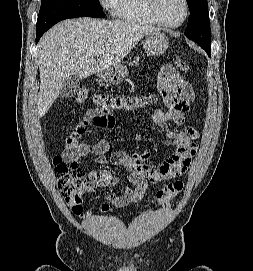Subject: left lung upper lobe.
Listing matches in <instances>:
<instances>
[{"label":"left lung upper lobe","instance_id":"5c2ea615","mask_svg":"<svg viewBox=\"0 0 253 271\" xmlns=\"http://www.w3.org/2000/svg\"><path fill=\"white\" fill-rule=\"evenodd\" d=\"M190 16L185 35L202 48L211 46L207 0H187Z\"/></svg>","mask_w":253,"mask_h":271}]
</instances>
